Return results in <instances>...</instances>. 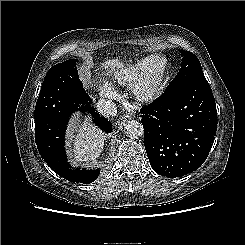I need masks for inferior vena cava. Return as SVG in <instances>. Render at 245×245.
<instances>
[{"label":"inferior vena cava","mask_w":245,"mask_h":245,"mask_svg":"<svg viewBox=\"0 0 245 245\" xmlns=\"http://www.w3.org/2000/svg\"><path fill=\"white\" fill-rule=\"evenodd\" d=\"M97 110L107 118L112 119L116 115V105L110 100L100 99L97 102Z\"/></svg>","instance_id":"obj_1"}]
</instances>
